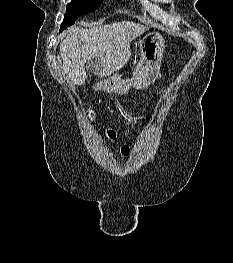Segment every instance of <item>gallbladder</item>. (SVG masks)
Wrapping results in <instances>:
<instances>
[{
	"label": "gallbladder",
	"instance_id": "gallbladder-1",
	"mask_svg": "<svg viewBox=\"0 0 233 263\" xmlns=\"http://www.w3.org/2000/svg\"><path fill=\"white\" fill-rule=\"evenodd\" d=\"M94 64H95V62L93 60L88 61V64L86 66L87 70L91 71V72H94V70H95L94 69Z\"/></svg>",
	"mask_w": 233,
	"mask_h": 263
}]
</instances>
